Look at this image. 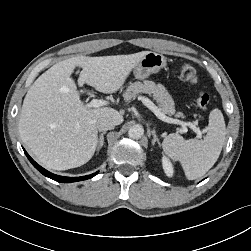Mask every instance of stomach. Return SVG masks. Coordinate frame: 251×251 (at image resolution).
Returning a JSON list of instances; mask_svg holds the SVG:
<instances>
[{
	"label": "stomach",
	"instance_id": "0dacf381",
	"mask_svg": "<svg viewBox=\"0 0 251 251\" xmlns=\"http://www.w3.org/2000/svg\"><path fill=\"white\" fill-rule=\"evenodd\" d=\"M167 65V59L162 54L148 52L133 68V74L137 79H145L152 73H158Z\"/></svg>",
	"mask_w": 251,
	"mask_h": 251
}]
</instances>
